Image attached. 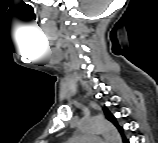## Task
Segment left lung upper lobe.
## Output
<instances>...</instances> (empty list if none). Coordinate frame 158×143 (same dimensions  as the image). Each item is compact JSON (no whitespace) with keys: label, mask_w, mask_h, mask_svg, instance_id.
I'll use <instances>...</instances> for the list:
<instances>
[{"label":"left lung upper lobe","mask_w":158,"mask_h":143,"mask_svg":"<svg viewBox=\"0 0 158 143\" xmlns=\"http://www.w3.org/2000/svg\"><path fill=\"white\" fill-rule=\"evenodd\" d=\"M104 111H105V114H106V117L109 121H111L112 123H114L117 128L119 129V131L122 133L123 132V129L122 127H120L115 119V117L108 111V109L106 107H104Z\"/></svg>","instance_id":"5c2ea615"}]
</instances>
